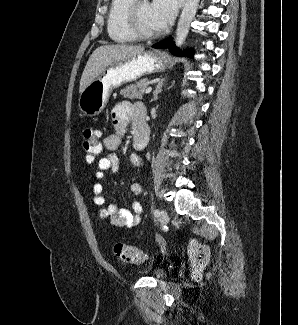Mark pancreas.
I'll list each match as a JSON object with an SVG mask.
<instances>
[{
	"label": "pancreas",
	"instance_id": "1",
	"mask_svg": "<svg viewBox=\"0 0 298 325\" xmlns=\"http://www.w3.org/2000/svg\"><path fill=\"white\" fill-rule=\"evenodd\" d=\"M149 80L150 78H140L134 84H128L125 88H121L119 94H123L124 98H132V100L143 98L144 88H146Z\"/></svg>",
	"mask_w": 298,
	"mask_h": 325
}]
</instances>
